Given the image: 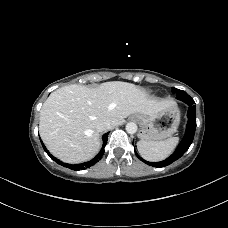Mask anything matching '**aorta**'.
I'll return each mask as SVG.
<instances>
[{
    "label": "aorta",
    "instance_id": "aorta-1",
    "mask_svg": "<svg viewBox=\"0 0 228 228\" xmlns=\"http://www.w3.org/2000/svg\"><path fill=\"white\" fill-rule=\"evenodd\" d=\"M126 131L129 134L136 133V131H137V125L135 123H133V122L127 123V125H126Z\"/></svg>",
    "mask_w": 228,
    "mask_h": 228
}]
</instances>
